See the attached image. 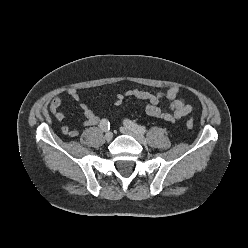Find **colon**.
<instances>
[{"mask_svg": "<svg viewBox=\"0 0 248 248\" xmlns=\"http://www.w3.org/2000/svg\"><path fill=\"white\" fill-rule=\"evenodd\" d=\"M186 126H187V128H189V129L193 128V126H194L193 121H192L191 119H188V120L186 121Z\"/></svg>", "mask_w": 248, "mask_h": 248, "instance_id": "5ec220e1", "label": "colon"}]
</instances>
